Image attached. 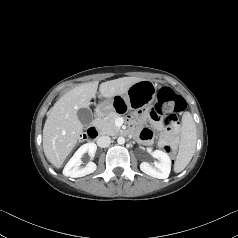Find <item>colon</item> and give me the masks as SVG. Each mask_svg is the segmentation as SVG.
<instances>
[{"label":"colon","instance_id":"obj_1","mask_svg":"<svg viewBox=\"0 0 238 238\" xmlns=\"http://www.w3.org/2000/svg\"><path fill=\"white\" fill-rule=\"evenodd\" d=\"M153 107L162 115L163 124L167 130L173 132L178 126L177 114L186 108V101L171 88L163 87L158 91L157 101ZM87 136L88 135H84L83 138ZM161 147L168 154L174 152V144L170 141H163Z\"/></svg>","mask_w":238,"mask_h":238}]
</instances>
